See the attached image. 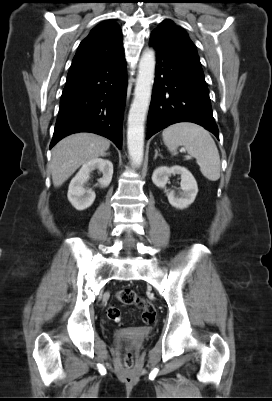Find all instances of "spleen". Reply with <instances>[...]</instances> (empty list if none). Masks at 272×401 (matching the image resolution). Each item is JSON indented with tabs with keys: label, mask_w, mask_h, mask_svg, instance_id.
I'll return each mask as SVG.
<instances>
[{
	"label": "spleen",
	"mask_w": 272,
	"mask_h": 401,
	"mask_svg": "<svg viewBox=\"0 0 272 401\" xmlns=\"http://www.w3.org/2000/svg\"><path fill=\"white\" fill-rule=\"evenodd\" d=\"M164 144L172 153L183 146L188 154L196 158L200 171L210 181L220 178V156L217 146L204 128L193 123H177L163 130Z\"/></svg>",
	"instance_id": "1"
}]
</instances>
